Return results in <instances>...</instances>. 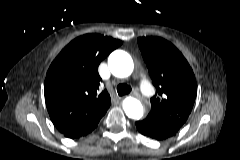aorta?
<instances>
[{"label":"aorta","mask_w":240,"mask_h":160,"mask_svg":"<svg viewBox=\"0 0 240 160\" xmlns=\"http://www.w3.org/2000/svg\"><path fill=\"white\" fill-rule=\"evenodd\" d=\"M108 67L114 76L125 78L132 74L134 64L127 52L116 50L108 58ZM123 109L129 118L135 120L141 119L144 114L141 102L133 97H127L123 100Z\"/></svg>","instance_id":"1"}]
</instances>
